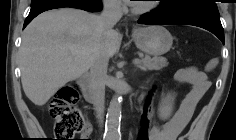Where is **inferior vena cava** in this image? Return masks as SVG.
Masks as SVG:
<instances>
[{"mask_svg": "<svg viewBox=\"0 0 236 140\" xmlns=\"http://www.w3.org/2000/svg\"><path fill=\"white\" fill-rule=\"evenodd\" d=\"M122 10L120 2L117 0H105L103 11L99 17L100 25L106 33L113 31L114 25L121 19ZM109 58L100 55L91 66V88L93 94V105L100 124L104 117L105 81L107 78V67Z\"/></svg>", "mask_w": 236, "mask_h": 140, "instance_id": "inferior-vena-cava-1", "label": "inferior vena cava"}]
</instances>
